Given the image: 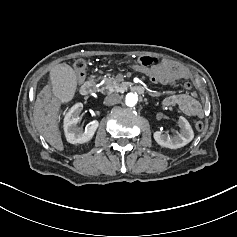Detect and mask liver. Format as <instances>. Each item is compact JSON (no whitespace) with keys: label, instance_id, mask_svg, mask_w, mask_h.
<instances>
[{"label":"liver","instance_id":"6515ba94","mask_svg":"<svg viewBox=\"0 0 237 237\" xmlns=\"http://www.w3.org/2000/svg\"><path fill=\"white\" fill-rule=\"evenodd\" d=\"M48 102H44L38 96L35 102L34 124L36 131L43 136L46 142L57 151L63 152L64 145L59 133V111L60 107L53 103L50 97V91L47 88L44 91ZM52 109V114H49Z\"/></svg>","mask_w":237,"mask_h":237}]
</instances>
